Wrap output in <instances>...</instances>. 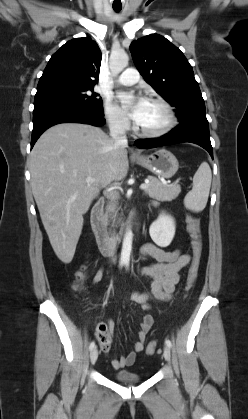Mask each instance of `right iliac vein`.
Here are the masks:
<instances>
[{"label":"right iliac vein","instance_id":"63e3f726","mask_svg":"<svg viewBox=\"0 0 248 419\" xmlns=\"http://www.w3.org/2000/svg\"><path fill=\"white\" fill-rule=\"evenodd\" d=\"M97 358H98V350H97L96 347H94L90 352L91 363L94 364L96 362Z\"/></svg>","mask_w":248,"mask_h":419}]
</instances>
